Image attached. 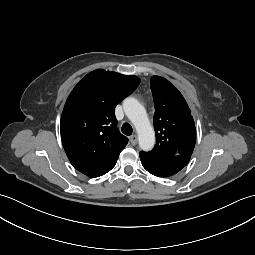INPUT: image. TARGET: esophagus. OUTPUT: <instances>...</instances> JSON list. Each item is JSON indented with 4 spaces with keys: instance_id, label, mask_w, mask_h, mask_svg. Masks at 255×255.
<instances>
[{
    "instance_id": "1",
    "label": "esophagus",
    "mask_w": 255,
    "mask_h": 255,
    "mask_svg": "<svg viewBox=\"0 0 255 255\" xmlns=\"http://www.w3.org/2000/svg\"><path fill=\"white\" fill-rule=\"evenodd\" d=\"M129 139H130V142H131L132 145H136L137 144V136L136 135H131L129 137Z\"/></svg>"
}]
</instances>
